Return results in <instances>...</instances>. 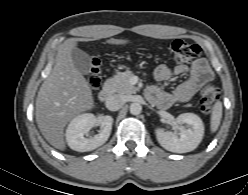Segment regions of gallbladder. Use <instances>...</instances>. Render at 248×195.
I'll return each instance as SVG.
<instances>
[{"label": "gallbladder", "instance_id": "bac80fb5", "mask_svg": "<svg viewBox=\"0 0 248 195\" xmlns=\"http://www.w3.org/2000/svg\"><path fill=\"white\" fill-rule=\"evenodd\" d=\"M71 56L75 67L84 75H88L91 69V61L89 55L79 48H73Z\"/></svg>", "mask_w": 248, "mask_h": 195}]
</instances>
